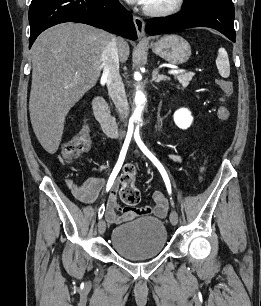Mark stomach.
<instances>
[{
	"instance_id": "0dacf381",
	"label": "stomach",
	"mask_w": 261,
	"mask_h": 306,
	"mask_svg": "<svg viewBox=\"0 0 261 306\" xmlns=\"http://www.w3.org/2000/svg\"><path fill=\"white\" fill-rule=\"evenodd\" d=\"M153 52L175 65L185 63L191 56L189 43L176 34L166 35L151 45Z\"/></svg>"
}]
</instances>
